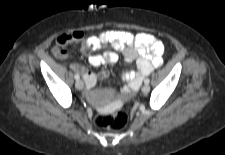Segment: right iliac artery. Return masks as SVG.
I'll return each mask as SVG.
<instances>
[{"label": "right iliac artery", "instance_id": "obj_1", "mask_svg": "<svg viewBox=\"0 0 225 155\" xmlns=\"http://www.w3.org/2000/svg\"><path fill=\"white\" fill-rule=\"evenodd\" d=\"M74 77H75L76 80H79V79H80V76H79L78 73H76V74L74 75Z\"/></svg>", "mask_w": 225, "mask_h": 155}]
</instances>
